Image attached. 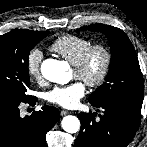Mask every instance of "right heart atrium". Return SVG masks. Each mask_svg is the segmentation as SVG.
I'll return each mask as SVG.
<instances>
[{"label":"right heart atrium","mask_w":147,"mask_h":147,"mask_svg":"<svg viewBox=\"0 0 147 147\" xmlns=\"http://www.w3.org/2000/svg\"><path fill=\"white\" fill-rule=\"evenodd\" d=\"M43 59V54L39 49H32L29 51L26 57V71L29 77L35 81H40L42 79L41 74V62Z\"/></svg>","instance_id":"1"}]
</instances>
